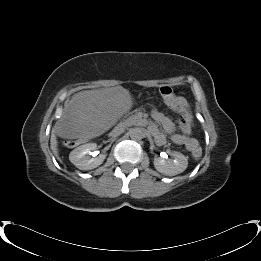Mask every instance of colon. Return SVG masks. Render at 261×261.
I'll list each match as a JSON object with an SVG mask.
<instances>
[{
	"label": "colon",
	"instance_id": "5ec220e1",
	"mask_svg": "<svg viewBox=\"0 0 261 261\" xmlns=\"http://www.w3.org/2000/svg\"><path fill=\"white\" fill-rule=\"evenodd\" d=\"M161 95L165 97L166 103L174 110V115L178 117L179 127L181 132L185 136L192 134L190 115L187 111V104L181 98L170 94L168 88L161 90ZM71 141H65L66 146H71ZM186 149L193 157H199L201 155V147L197 140H191L187 144H184Z\"/></svg>",
	"mask_w": 261,
	"mask_h": 261
}]
</instances>
